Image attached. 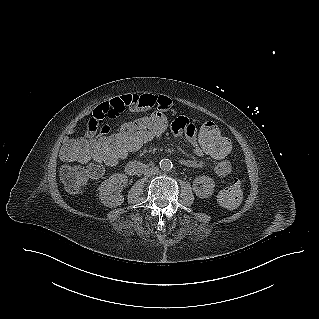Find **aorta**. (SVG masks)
<instances>
[{"label": "aorta", "instance_id": "1", "mask_svg": "<svg viewBox=\"0 0 319 319\" xmlns=\"http://www.w3.org/2000/svg\"><path fill=\"white\" fill-rule=\"evenodd\" d=\"M160 169L164 172H168L172 169L173 164L169 159H162L159 163Z\"/></svg>", "mask_w": 319, "mask_h": 319}]
</instances>
